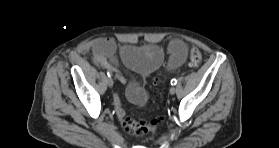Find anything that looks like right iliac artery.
Segmentation results:
<instances>
[{
	"mask_svg": "<svg viewBox=\"0 0 279 148\" xmlns=\"http://www.w3.org/2000/svg\"><path fill=\"white\" fill-rule=\"evenodd\" d=\"M107 76H108V77H111V76H112V73L108 71V72H107Z\"/></svg>",
	"mask_w": 279,
	"mask_h": 148,
	"instance_id": "1",
	"label": "right iliac artery"
}]
</instances>
